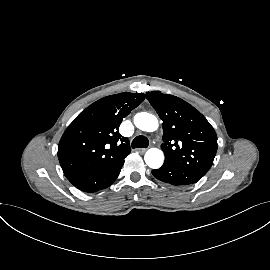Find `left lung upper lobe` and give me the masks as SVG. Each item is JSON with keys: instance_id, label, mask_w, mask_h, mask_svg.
Here are the masks:
<instances>
[{"instance_id": "1", "label": "left lung upper lobe", "mask_w": 270, "mask_h": 270, "mask_svg": "<svg viewBox=\"0 0 270 270\" xmlns=\"http://www.w3.org/2000/svg\"><path fill=\"white\" fill-rule=\"evenodd\" d=\"M146 98L163 121L165 163L183 167L203 177L213 164L217 136L207 119L184 100L160 91Z\"/></svg>"}]
</instances>
